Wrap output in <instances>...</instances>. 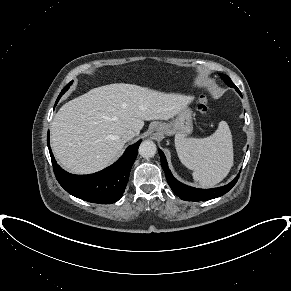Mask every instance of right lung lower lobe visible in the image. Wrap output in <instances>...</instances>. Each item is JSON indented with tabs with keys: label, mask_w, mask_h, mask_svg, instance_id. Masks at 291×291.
Returning <instances> with one entry per match:
<instances>
[{
	"label": "right lung lower lobe",
	"mask_w": 291,
	"mask_h": 291,
	"mask_svg": "<svg viewBox=\"0 0 291 291\" xmlns=\"http://www.w3.org/2000/svg\"><path fill=\"white\" fill-rule=\"evenodd\" d=\"M47 144L56 179L64 190L87 202L111 204L118 201L125 191L140 141L129 146L113 165L90 175H73L64 171L57 164L50 148L49 132Z\"/></svg>",
	"instance_id": "obj_1"
}]
</instances>
